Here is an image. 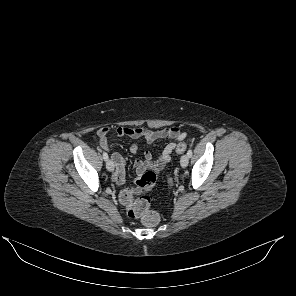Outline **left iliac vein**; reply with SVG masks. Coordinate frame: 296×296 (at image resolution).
Returning <instances> with one entry per match:
<instances>
[{"label":"left iliac vein","mask_w":296,"mask_h":296,"mask_svg":"<svg viewBox=\"0 0 296 296\" xmlns=\"http://www.w3.org/2000/svg\"><path fill=\"white\" fill-rule=\"evenodd\" d=\"M188 163H189V157L188 155L185 154L181 157L180 164L183 168H185L187 167Z\"/></svg>","instance_id":"4c4485c4"}]
</instances>
